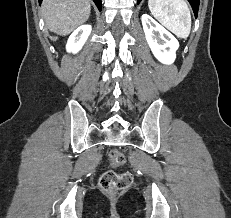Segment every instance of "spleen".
Listing matches in <instances>:
<instances>
[{
    "instance_id": "obj_1",
    "label": "spleen",
    "mask_w": 231,
    "mask_h": 218,
    "mask_svg": "<svg viewBox=\"0 0 231 218\" xmlns=\"http://www.w3.org/2000/svg\"><path fill=\"white\" fill-rule=\"evenodd\" d=\"M152 15L180 38L191 31V14L185 0H148Z\"/></svg>"
}]
</instances>
